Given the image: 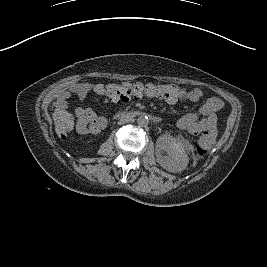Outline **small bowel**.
Returning <instances> with one entry per match:
<instances>
[{"label":"small bowel","instance_id":"obj_1","mask_svg":"<svg viewBox=\"0 0 267 267\" xmlns=\"http://www.w3.org/2000/svg\"><path fill=\"white\" fill-rule=\"evenodd\" d=\"M93 85L88 82L78 83L69 87L63 99L58 103L59 109H64L67 98L76 95L80 100L85 99L92 91ZM182 90L181 98L172 103L189 101L199 102L203 99V91L199 88ZM224 102L217 97H210L195 111L190 112L180 119L176 125L180 130L188 131L193 135L208 132L214 136L217 134L218 117L217 112L222 110ZM77 117V130L82 134H98L106 126V119L98 116L93 109L77 107L75 109Z\"/></svg>","mask_w":267,"mask_h":267}]
</instances>
